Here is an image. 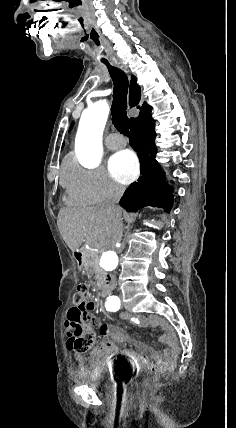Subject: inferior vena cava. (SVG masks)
<instances>
[{"label":"inferior vena cava","instance_id":"1","mask_svg":"<svg viewBox=\"0 0 236 428\" xmlns=\"http://www.w3.org/2000/svg\"><path fill=\"white\" fill-rule=\"evenodd\" d=\"M108 192H110V196L108 198L109 204L107 206L108 210H112L113 214H115L114 220L117 225H122L124 217L122 216L120 206H116L118 204L123 192L124 188L120 186V184H116V182H108L107 184Z\"/></svg>","mask_w":236,"mask_h":428}]
</instances>
